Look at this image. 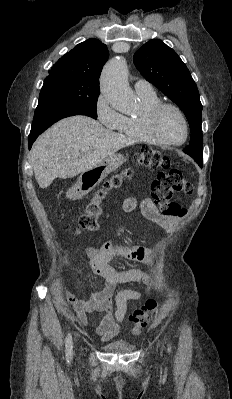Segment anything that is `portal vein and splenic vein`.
Segmentation results:
<instances>
[{"label": "portal vein and splenic vein", "mask_w": 232, "mask_h": 399, "mask_svg": "<svg viewBox=\"0 0 232 399\" xmlns=\"http://www.w3.org/2000/svg\"><path fill=\"white\" fill-rule=\"evenodd\" d=\"M89 148H81V152L82 154H86V152H88Z\"/></svg>", "instance_id": "obj_1"}]
</instances>
